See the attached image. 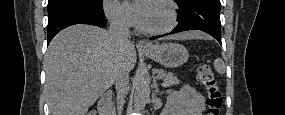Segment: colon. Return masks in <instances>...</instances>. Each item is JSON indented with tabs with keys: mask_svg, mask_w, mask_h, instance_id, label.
Returning <instances> with one entry per match:
<instances>
[{
	"mask_svg": "<svg viewBox=\"0 0 285 115\" xmlns=\"http://www.w3.org/2000/svg\"><path fill=\"white\" fill-rule=\"evenodd\" d=\"M197 78L207 91V114H220L223 103L222 94L210 66L207 64L200 65L197 69ZM88 115H96V113L90 111Z\"/></svg>",
	"mask_w": 285,
	"mask_h": 115,
	"instance_id": "1",
	"label": "colon"
}]
</instances>
